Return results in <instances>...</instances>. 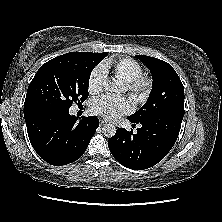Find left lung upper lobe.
I'll list each match as a JSON object with an SVG mask.
<instances>
[{
	"instance_id": "5c2ea615",
	"label": "left lung upper lobe",
	"mask_w": 222,
	"mask_h": 222,
	"mask_svg": "<svg viewBox=\"0 0 222 222\" xmlns=\"http://www.w3.org/2000/svg\"><path fill=\"white\" fill-rule=\"evenodd\" d=\"M153 77L147 102L128 118L139 122L156 114L173 112L184 115V87L173 67L157 58L137 55Z\"/></svg>"
}]
</instances>
